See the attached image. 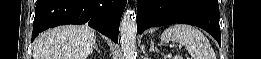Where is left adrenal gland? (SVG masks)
<instances>
[{"label": "left adrenal gland", "instance_id": "left-adrenal-gland-1", "mask_svg": "<svg viewBox=\"0 0 261 59\" xmlns=\"http://www.w3.org/2000/svg\"><path fill=\"white\" fill-rule=\"evenodd\" d=\"M149 52H160L157 47L154 46V42L151 41Z\"/></svg>", "mask_w": 261, "mask_h": 59}]
</instances>
